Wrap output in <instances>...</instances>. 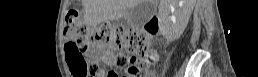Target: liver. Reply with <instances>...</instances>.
I'll return each instance as SVG.
<instances>
[{
	"label": "liver",
	"instance_id": "obj_1",
	"mask_svg": "<svg viewBox=\"0 0 258 77\" xmlns=\"http://www.w3.org/2000/svg\"><path fill=\"white\" fill-rule=\"evenodd\" d=\"M142 0H83L84 20L87 24L96 26L106 20H116L123 17L129 9L134 8ZM153 2L152 0H149ZM178 0H161L162 4L176 5ZM188 2V0H185ZM195 0H190L194 4ZM160 5V6H161ZM188 14L183 12L181 21L185 22Z\"/></svg>",
	"mask_w": 258,
	"mask_h": 77
}]
</instances>
